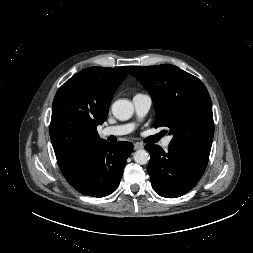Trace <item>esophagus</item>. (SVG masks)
<instances>
[{
  "label": "esophagus",
  "instance_id": "obj_1",
  "mask_svg": "<svg viewBox=\"0 0 253 253\" xmlns=\"http://www.w3.org/2000/svg\"><path fill=\"white\" fill-rule=\"evenodd\" d=\"M144 145L142 143L136 142L134 143V150L142 149Z\"/></svg>",
  "mask_w": 253,
  "mask_h": 253
}]
</instances>
